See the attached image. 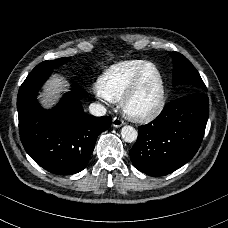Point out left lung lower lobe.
Listing matches in <instances>:
<instances>
[{
    "label": "left lung lower lobe",
    "instance_id": "left-lung-lower-lobe-1",
    "mask_svg": "<svg viewBox=\"0 0 228 228\" xmlns=\"http://www.w3.org/2000/svg\"><path fill=\"white\" fill-rule=\"evenodd\" d=\"M209 115L205 92L191 93L168 103L151 123L139 127L130 150L135 168L150 176L167 175L198 151Z\"/></svg>",
    "mask_w": 228,
    "mask_h": 228
}]
</instances>
